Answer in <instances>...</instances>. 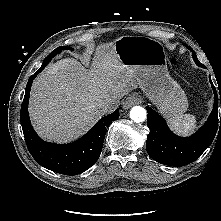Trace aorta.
Segmentation results:
<instances>
[{"label": "aorta", "instance_id": "1", "mask_svg": "<svg viewBox=\"0 0 221 221\" xmlns=\"http://www.w3.org/2000/svg\"><path fill=\"white\" fill-rule=\"evenodd\" d=\"M146 117H147L146 110L141 106H134L130 110V118L136 123L145 121Z\"/></svg>", "mask_w": 221, "mask_h": 221}]
</instances>
